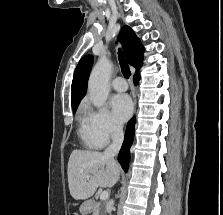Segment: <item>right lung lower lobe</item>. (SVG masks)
I'll use <instances>...</instances> for the list:
<instances>
[{"mask_svg": "<svg viewBox=\"0 0 223 215\" xmlns=\"http://www.w3.org/2000/svg\"><path fill=\"white\" fill-rule=\"evenodd\" d=\"M139 79L140 75L135 74L134 81L136 84H138ZM134 124H135V118L131 119L128 122L125 132L124 142L118 156V161L121 164L124 171H127L130 160V147L132 145L134 138Z\"/></svg>", "mask_w": 223, "mask_h": 215, "instance_id": "98d812e1", "label": "right lung lower lobe"}]
</instances>
